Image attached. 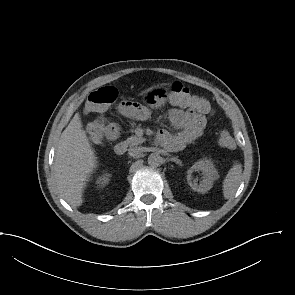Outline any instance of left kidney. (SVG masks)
Returning a JSON list of instances; mask_svg holds the SVG:
<instances>
[{
    "mask_svg": "<svg viewBox=\"0 0 295 295\" xmlns=\"http://www.w3.org/2000/svg\"><path fill=\"white\" fill-rule=\"evenodd\" d=\"M194 171L202 172V181L198 184L195 180L192 181V173ZM219 177L213 163L209 160H199L192 165L187 171V181L190 187L197 192L206 193L213 186V182Z\"/></svg>",
    "mask_w": 295,
    "mask_h": 295,
    "instance_id": "left-kidney-1",
    "label": "left kidney"
}]
</instances>
